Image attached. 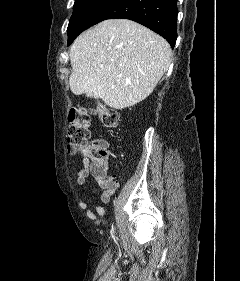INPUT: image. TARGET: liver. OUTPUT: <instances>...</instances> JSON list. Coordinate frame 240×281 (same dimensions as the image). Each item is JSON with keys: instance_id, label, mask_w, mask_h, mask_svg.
Segmentation results:
<instances>
[{"instance_id": "liver-1", "label": "liver", "mask_w": 240, "mask_h": 281, "mask_svg": "<svg viewBox=\"0 0 240 281\" xmlns=\"http://www.w3.org/2000/svg\"><path fill=\"white\" fill-rule=\"evenodd\" d=\"M73 94L87 93L122 110L146 99L171 62L168 42L128 19L105 20L70 48Z\"/></svg>"}]
</instances>
